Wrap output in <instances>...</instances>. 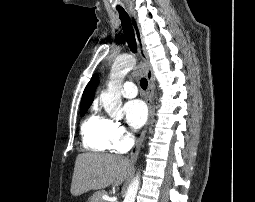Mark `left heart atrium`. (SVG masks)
I'll return each instance as SVG.
<instances>
[{"label":"left heart atrium","mask_w":255,"mask_h":202,"mask_svg":"<svg viewBox=\"0 0 255 202\" xmlns=\"http://www.w3.org/2000/svg\"><path fill=\"white\" fill-rule=\"evenodd\" d=\"M127 123L134 130L139 129L146 121L147 108L141 100H131L124 106Z\"/></svg>","instance_id":"left-heart-atrium-1"}]
</instances>
